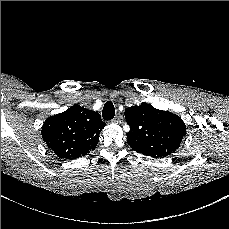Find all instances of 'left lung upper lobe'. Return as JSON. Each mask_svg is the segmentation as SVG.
I'll return each mask as SVG.
<instances>
[{
	"instance_id": "left-lung-upper-lobe-1",
	"label": "left lung upper lobe",
	"mask_w": 229,
	"mask_h": 229,
	"mask_svg": "<svg viewBox=\"0 0 229 229\" xmlns=\"http://www.w3.org/2000/svg\"><path fill=\"white\" fill-rule=\"evenodd\" d=\"M125 118L130 126L126 134L130 147L153 158L174 153L186 134V126L179 116L147 103L126 108Z\"/></svg>"
}]
</instances>
